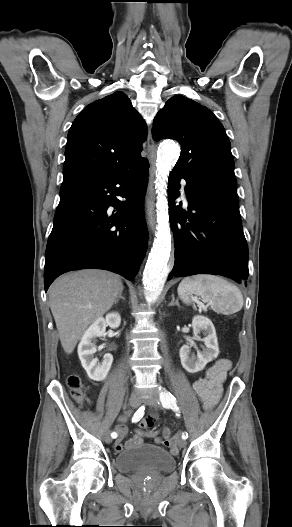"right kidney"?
<instances>
[{
  "instance_id": "right-kidney-1",
  "label": "right kidney",
  "mask_w": 292,
  "mask_h": 527,
  "mask_svg": "<svg viewBox=\"0 0 292 527\" xmlns=\"http://www.w3.org/2000/svg\"><path fill=\"white\" fill-rule=\"evenodd\" d=\"M120 323L121 317L118 313H109L106 318L101 317L94 321L81 338L78 345V356L88 377L94 381H103L113 362V356L109 353L104 355L101 364L98 362V359L94 357L97 351L94 342L97 337L104 335L107 326L115 329L119 327Z\"/></svg>"
}]
</instances>
